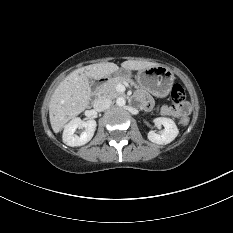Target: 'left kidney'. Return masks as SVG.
<instances>
[{
  "instance_id": "obj_1",
  "label": "left kidney",
  "mask_w": 233,
  "mask_h": 233,
  "mask_svg": "<svg viewBox=\"0 0 233 233\" xmlns=\"http://www.w3.org/2000/svg\"><path fill=\"white\" fill-rule=\"evenodd\" d=\"M154 123L157 125H163L164 130L160 134H157L154 131H150L148 133V139L151 142L166 145L172 142L177 137L179 130L172 119L166 117H158L154 119Z\"/></svg>"
}]
</instances>
